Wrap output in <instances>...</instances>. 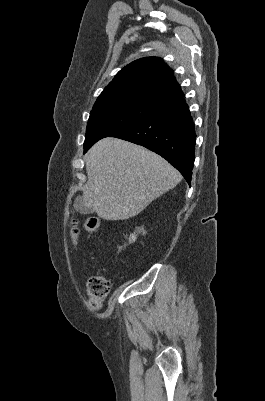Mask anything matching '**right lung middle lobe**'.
I'll return each instance as SVG.
<instances>
[{
  "mask_svg": "<svg viewBox=\"0 0 265 401\" xmlns=\"http://www.w3.org/2000/svg\"><path fill=\"white\" fill-rule=\"evenodd\" d=\"M162 106L140 100L94 106L87 123L84 152L98 140L108 137L113 131L137 122Z\"/></svg>",
  "mask_w": 265,
  "mask_h": 401,
  "instance_id": "right-lung-middle-lobe-1",
  "label": "right lung middle lobe"
}]
</instances>
